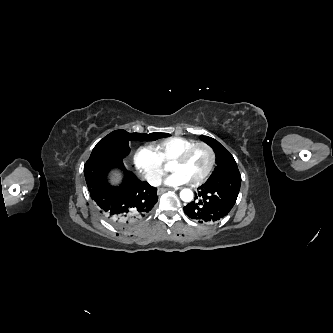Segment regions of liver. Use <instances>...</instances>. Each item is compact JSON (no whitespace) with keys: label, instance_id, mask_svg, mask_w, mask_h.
<instances>
[{"label":"liver","instance_id":"1","mask_svg":"<svg viewBox=\"0 0 333 333\" xmlns=\"http://www.w3.org/2000/svg\"><path fill=\"white\" fill-rule=\"evenodd\" d=\"M122 180V174L121 172L114 170L112 172H110V181L111 184H116L118 185Z\"/></svg>","mask_w":333,"mask_h":333}]
</instances>
